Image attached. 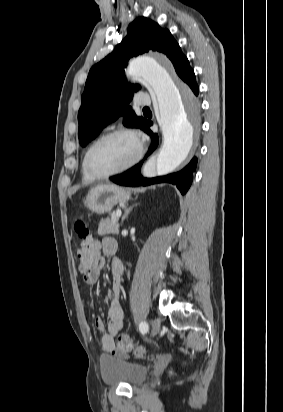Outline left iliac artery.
<instances>
[{
	"mask_svg": "<svg viewBox=\"0 0 283 412\" xmlns=\"http://www.w3.org/2000/svg\"><path fill=\"white\" fill-rule=\"evenodd\" d=\"M139 330L142 334L147 333L148 331V324L146 322H141L139 325Z\"/></svg>",
	"mask_w": 283,
	"mask_h": 412,
	"instance_id": "obj_1",
	"label": "left iliac artery"
}]
</instances>
